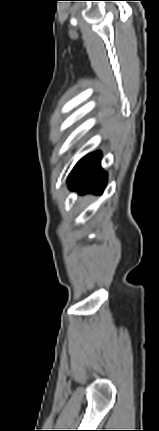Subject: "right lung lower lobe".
Wrapping results in <instances>:
<instances>
[{
	"label": "right lung lower lobe",
	"mask_w": 159,
	"mask_h": 431,
	"mask_svg": "<svg viewBox=\"0 0 159 431\" xmlns=\"http://www.w3.org/2000/svg\"><path fill=\"white\" fill-rule=\"evenodd\" d=\"M101 153H91L82 158L71 171L68 185L79 193L93 192L101 194L106 186L107 174L100 166Z\"/></svg>",
	"instance_id": "obj_1"
}]
</instances>
